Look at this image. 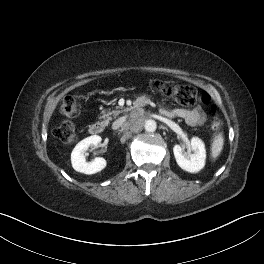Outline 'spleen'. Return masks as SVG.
<instances>
[{
	"label": "spleen",
	"instance_id": "obj_1",
	"mask_svg": "<svg viewBox=\"0 0 264 264\" xmlns=\"http://www.w3.org/2000/svg\"><path fill=\"white\" fill-rule=\"evenodd\" d=\"M223 145H224V138L223 135L220 133L215 136L212 143L211 156L213 159H216L220 155L223 149Z\"/></svg>",
	"mask_w": 264,
	"mask_h": 264
}]
</instances>
